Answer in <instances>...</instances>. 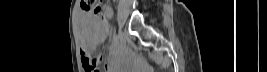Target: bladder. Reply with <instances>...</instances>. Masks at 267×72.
I'll return each instance as SVG.
<instances>
[{"label":"bladder","instance_id":"31cf9c89","mask_svg":"<svg viewBox=\"0 0 267 72\" xmlns=\"http://www.w3.org/2000/svg\"><path fill=\"white\" fill-rule=\"evenodd\" d=\"M87 20H88V25L91 26V25H90V22H92L93 19L90 18V17H88Z\"/></svg>","mask_w":267,"mask_h":72}]
</instances>
